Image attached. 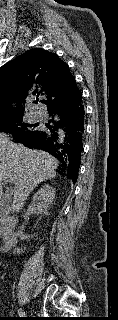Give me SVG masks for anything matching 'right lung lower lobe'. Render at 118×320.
<instances>
[{"mask_svg": "<svg viewBox=\"0 0 118 320\" xmlns=\"http://www.w3.org/2000/svg\"><path fill=\"white\" fill-rule=\"evenodd\" d=\"M51 116L48 129L39 128L35 133L19 139L29 148L49 152L60 161L58 173L77 181L85 130V112L82 94L78 89L72 95L47 105Z\"/></svg>", "mask_w": 118, "mask_h": 320, "instance_id": "1", "label": "right lung lower lobe"}]
</instances>
